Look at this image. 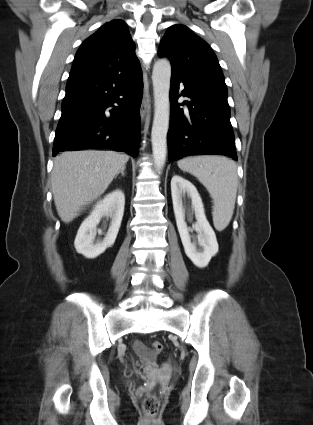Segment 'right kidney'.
<instances>
[{"mask_svg": "<svg viewBox=\"0 0 313 425\" xmlns=\"http://www.w3.org/2000/svg\"><path fill=\"white\" fill-rule=\"evenodd\" d=\"M125 205V196L121 190H115L97 202L91 214L82 222L74 246L79 254L86 258H96L111 247L117 237ZM102 217L110 218L111 225L102 241H95L96 226Z\"/></svg>", "mask_w": 313, "mask_h": 425, "instance_id": "ca27d5eb", "label": "right kidney"}]
</instances>
